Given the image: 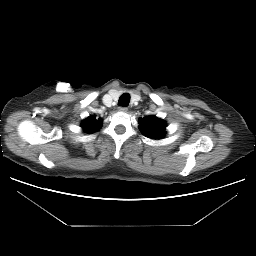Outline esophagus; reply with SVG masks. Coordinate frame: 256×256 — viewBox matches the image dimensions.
Returning <instances> with one entry per match:
<instances>
[{"label": "esophagus", "mask_w": 256, "mask_h": 256, "mask_svg": "<svg viewBox=\"0 0 256 256\" xmlns=\"http://www.w3.org/2000/svg\"><path fill=\"white\" fill-rule=\"evenodd\" d=\"M119 111L121 112H127L128 111V108L127 107H119Z\"/></svg>", "instance_id": "1"}]
</instances>
